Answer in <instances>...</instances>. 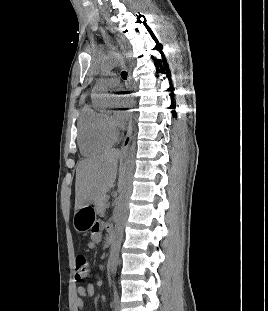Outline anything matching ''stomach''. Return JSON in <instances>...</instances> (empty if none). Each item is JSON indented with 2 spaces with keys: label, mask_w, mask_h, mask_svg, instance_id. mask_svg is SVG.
Returning a JSON list of instances; mask_svg holds the SVG:
<instances>
[{
  "label": "stomach",
  "mask_w": 268,
  "mask_h": 311,
  "mask_svg": "<svg viewBox=\"0 0 268 311\" xmlns=\"http://www.w3.org/2000/svg\"><path fill=\"white\" fill-rule=\"evenodd\" d=\"M95 223V211L90 205L75 211L73 226L77 232L83 233L90 230Z\"/></svg>",
  "instance_id": "obj_1"
}]
</instances>
